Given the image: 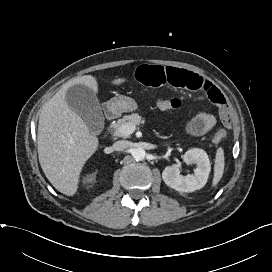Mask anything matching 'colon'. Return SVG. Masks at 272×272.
I'll return each instance as SVG.
<instances>
[{
	"label": "colon",
	"mask_w": 272,
	"mask_h": 272,
	"mask_svg": "<svg viewBox=\"0 0 272 272\" xmlns=\"http://www.w3.org/2000/svg\"><path fill=\"white\" fill-rule=\"evenodd\" d=\"M156 108L161 111H171L176 110L182 106V102L177 98H161L158 99L155 103ZM226 138V131L222 128L218 129L213 135V141L219 143Z\"/></svg>",
	"instance_id": "1"
}]
</instances>
